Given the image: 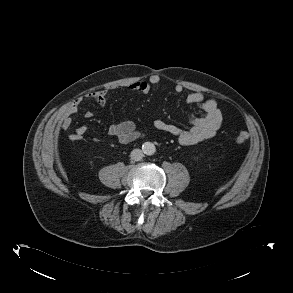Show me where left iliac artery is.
I'll list each match as a JSON object with an SVG mask.
<instances>
[{"label": "left iliac artery", "instance_id": "obj_1", "mask_svg": "<svg viewBox=\"0 0 293 293\" xmlns=\"http://www.w3.org/2000/svg\"><path fill=\"white\" fill-rule=\"evenodd\" d=\"M154 152H155V147L154 146H151L150 147V150L148 151V154L149 155H152Z\"/></svg>", "mask_w": 293, "mask_h": 293}]
</instances>
